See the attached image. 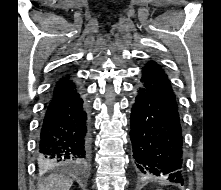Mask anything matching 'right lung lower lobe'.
Here are the masks:
<instances>
[{"label":"right lung lower lobe","instance_id":"obj_1","mask_svg":"<svg viewBox=\"0 0 221 190\" xmlns=\"http://www.w3.org/2000/svg\"><path fill=\"white\" fill-rule=\"evenodd\" d=\"M87 103L68 75L51 87L39 125V160L52 166H81L89 158Z\"/></svg>","mask_w":221,"mask_h":190}]
</instances>
